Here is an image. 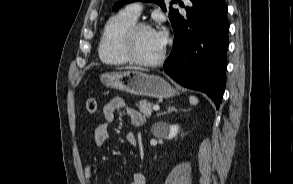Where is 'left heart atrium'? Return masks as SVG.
<instances>
[{
	"instance_id": "39dd6f15",
	"label": "left heart atrium",
	"mask_w": 293,
	"mask_h": 184,
	"mask_svg": "<svg viewBox=\"0 0 293 184\" xmlns=\"http://www.w3.org/2000/svg\"><path fill=\"white\" fill-rule=\"evenodd\" d=\"M154 33H155V37L157 39V42L163 48L166 44V41H167V32L163 29V30H159V31H154Z\"/></svg>"
}]
</instances>
